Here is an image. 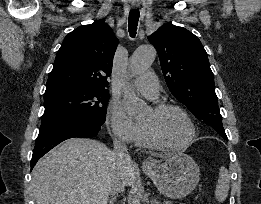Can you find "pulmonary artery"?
<instances>
[{
    "mask_svg": "<svg viewBox=\"0 0 261 204\" xmlns=\"http://www.w3.org/2000/svg\"><path fill=\"white\" fill-rule=\"evenodd\" d=\"M134 86L149 99H156L159 93V85L154 73L146 72L134 81Z\"/></svg>",
    "mask_w": 261,
    "mask_h": 204,
    "instance_id": "obj_1",
    "label": "pulmonary artery"
}]
</instances>
